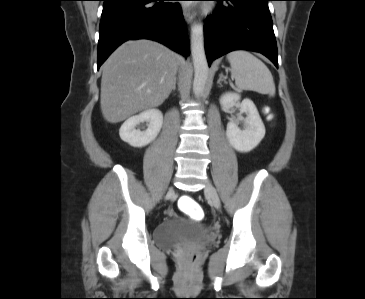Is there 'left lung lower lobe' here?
I'll return each mask as SVG.
<instances>
[{"label": "left lung lower lobe", "instance_id": "1", "mask_svg": "<svg viewBox=\"0 0 365 299\" xmlns=\"http://www.w3.org/2000/svg\"><path fill=\"white\" fill-rule=\"evenodd\" d=\"M216 1H220L217 11L204 23L208 64L230 51L243 49L262 53L278 67L277 44L268 8L271 0Z\"/></svg>", "mask_w": 365, "mask_h": 299}]
</instances>
